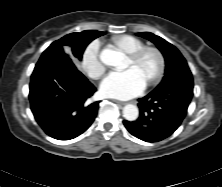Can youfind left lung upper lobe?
<instances>
[{
  "label": "left lung upper lobe",
  "mask_w": 222,
  "mask_h": 187,
  "mask_svg": "<svg viewBox=\"0 0 222 187\" xmlns=\"http://www.w3.org/2000/svg\"><path fill=\"white\" fill-rule=\"evenodd\" d=\"M137 35L153 42L165 58L166 67L163 80L152 92H164L162 95H173L182 90V80L192 78V74L179 50L163 38L150 32H141Z\"/></svg>",
  "instance_id": "obj_1"
}]
</instances>
